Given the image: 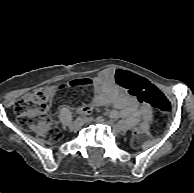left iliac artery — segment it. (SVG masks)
<instances>
[{"label":"left iliac artery","mask_w":194,"mask_h":193,"mask_svg":"<svg viewBox=\"0 0 194 193\" xmlns=\"http://www.w3.org/2000/svg\"><path fill=\"white\" fill-rule=\"evenodd\" d=\"M119 123H120V124H124V121H123V120H121V121H119Z\"/></svg>","instance_id":"1"}]
</instances>
